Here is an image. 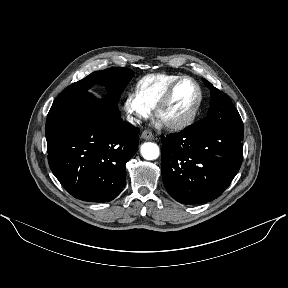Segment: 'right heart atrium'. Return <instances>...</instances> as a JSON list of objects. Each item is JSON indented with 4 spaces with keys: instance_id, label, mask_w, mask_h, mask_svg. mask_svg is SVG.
<instances>
[{
    "instance_id": "right-heart-atrium-1",
    "label": "right heart atrium",
    "mask_w": 288,
    "mask_h": 288,
    "mask_svg": "<svg viewBox=\"0 0 288 288\" xmlns=\"http://www.w3.org/2000/svg\"><path fill=\"white\" fill-rule=\"evenodd\" d=\"M123 108L129 119L133 122L147 118L151 114V109L146 106L136 95V93H128L123 102Z\"/></svg>"
}]
</instances>
